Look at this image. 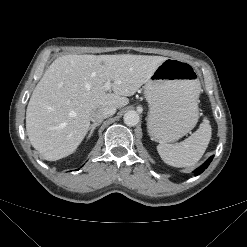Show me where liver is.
<instances>
[{
    "label": "liver",
    "mask_w": 247,
    "mask_h": 247,
    "mask_svg": "<svg viewBox=\"0 0 247 247\" xmlns=\"http://www.w3.org/2000/svg\"><path fill=\"white\" fill-rule=\"evenodd\" d=\"M167 59L130 54H70L55 59L28 103L26 130L31 145L48 161L69 156L85 138L93 110L126 106L127 97Z\"/></svg>",
    "instance_id": "obj_1"
}]
</instances>
